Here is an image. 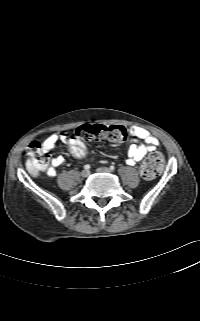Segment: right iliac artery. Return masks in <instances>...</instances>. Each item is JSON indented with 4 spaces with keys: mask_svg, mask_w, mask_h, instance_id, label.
Returning <instances> with one entry per match:
<instances>
[{
    "mask_svg": "<svg viewBox=\"0 0 200 321\" xmlns=\"http://www.w3.org/2000/svg\"><path fill=\"white\" fill-rule=\"evenodd\" d=\"M84 169H86V170L90 169V165L86 164V165L84 166Z\"/></svg>",
    "mask_w": 200,
    "mask_h": 321,
    "instance_id": "obj_1",
    "label": "right iliac artery"
}]
</instances>
